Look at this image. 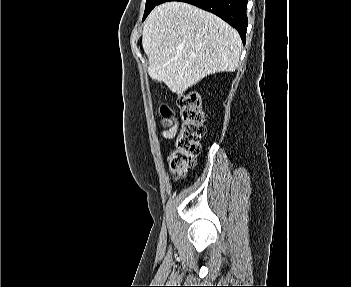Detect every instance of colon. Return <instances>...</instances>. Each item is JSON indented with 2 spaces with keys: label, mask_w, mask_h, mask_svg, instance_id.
Instances as JSON below:
<instances>
[{
  "label": "colon",
  "mask_w": 351,
  "mask_h": 287,
  "mask_svg": "<svg viewBox=\"0 0 351 287\" xmlns=\"http://www.w3.org/2000/svg\"><path fill=\"white\" fill-rule=\"evenodd\" d=\"M178 103L181 127L168 157V164L176 181L182 180L187 170L194 166L199 153V142L205 133L204 113L199 94L194 91L186 92L180 96ZM161 113L166 122L170 123L171 110L163 106Z\"/></svg>",
  "instance_id": "colon-1"
}]
</instances>
